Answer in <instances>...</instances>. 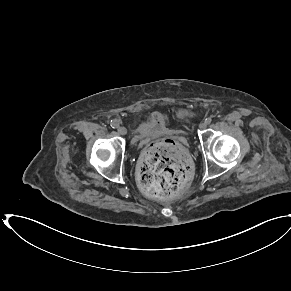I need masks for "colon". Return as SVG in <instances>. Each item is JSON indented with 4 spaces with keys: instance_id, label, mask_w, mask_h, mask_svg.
I'll return each instance as SVG.
<instances>
[{
    "instance_id": "1",
    "label": "colon",
    "mask_w": 291,
    "mask_h": 291,
    "mask_svg": "<svg viewBox=\"0 0 291 291\" xmlns=\"http://www.w3.org/2000/svg\"><path fill=\"white\" fill-rule=\"evenodd\" d=\"M189 181V160L176 142H155L143 153L138 183L149 196L168 198L177 195L187 187Z\"/></svg>"
}]
</instances>
